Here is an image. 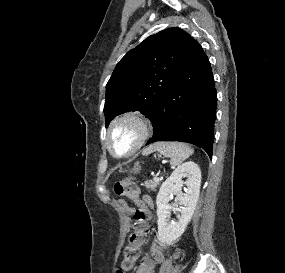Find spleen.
<instances>
[{
  "label": "spleen",
  "mask_w": 285,
  "mask_h": 273,
  "mask_svg": "<svg viewBox=\"0 0 285 273\" xmlns=\"http://www.w3.org/2000/svg\"><path fill=\"white\" fill-rule=\"evenodd\" d=\"M155 151H158L161 155L170 158V164L173 166L180 165L194 152V150L185 143L159 142L146 148L143 154L148 155Z\"/></svg>",
  "instance_id": "obj_1"
}]
</instances>
